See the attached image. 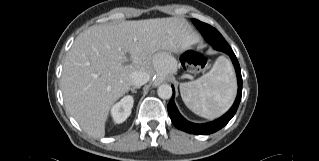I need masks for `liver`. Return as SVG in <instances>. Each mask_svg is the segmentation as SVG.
<instances>
[{
    "instance_id": "obj_1",
    "label": "liver",
    "mask_w": 319,
    "mask_h": 161,
    "mask_svg": "<svg viewBox=\"0 0 319 161\" xmlns=\"http://www.w3.org/2000/svg\"><path fill=\"white\" fill-rule=\"evenodd\" d=\"M197 41L188 22L179 17L89 27L76 37L63 64L67 111L86 133L103 137L112 105L130 89V74L152 75L156 52L178 53Z\"/></svg>"
}]
</instances>
